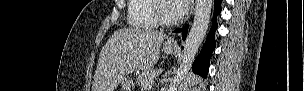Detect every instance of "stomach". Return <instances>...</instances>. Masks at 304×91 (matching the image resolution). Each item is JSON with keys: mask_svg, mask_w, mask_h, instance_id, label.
<instances>
[{"mask_svg": "<svg viewBox=\"0 0 304 91\" xmlns=\"http://www.w3.org/2000/svg\"><path fill=\"white\" fill-rule=\"evenodd\" d=\"M162 50L166 54H175L178 50V47L169 43V42H165L163 44ZM133 89H134L133 81L129 78H125L124 81H123V91H133Z\"/></svg>", "mask_w": 304, "mask_h": 91, "instance_id": "0dacf381", "label": "stomach"}]
</instances>
